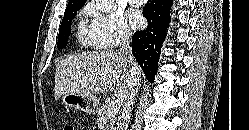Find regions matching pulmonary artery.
<instances>
[{
	"instance_id": "1",
	"label": "pulmonary artery",
	"mask_w": 249,
	"mask_h": 130,
	"mask_svg": "<svg viewBox=\"0 0 249 130\" xmlns=\"http://www.w3.org/2000/svg\"><path fill=\"white\" fill-rule=\"evenodd\" d=\"M129 3H130L132 6H140V5H142L143 0H129Z\"/></svg>"
}]
</instances>
